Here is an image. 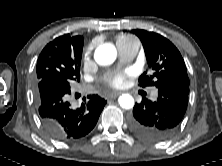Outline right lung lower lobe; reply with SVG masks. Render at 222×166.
Segmentation results:
<instances>
[{"instance_id":"obj_1","label":"right lung lower lobe","mask_w":222,"mask_h":166,"mask_svg":"<svg viewBox=\"0 0 222 166\" xmlns=\"http://www.w3.org/2000/svg\"><path fill=\"white\" fill-rule=\"evenodd\" d=\"M70 84L59 76L38 80L35 92L41 123L46 132L56 140L71 141L87 135L96 125L106 101L98 95L73 109L67 101Z\"/></svg>"}]
</instances>
